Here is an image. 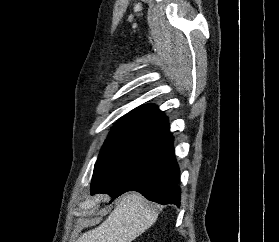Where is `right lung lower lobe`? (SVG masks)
<instances>
[{"mask_svg":"<svg viewBox=\"0 0 279 242\" xmlns=\"http://www.w3.org/2000/svg\"><path fill=\"white\" fill-rule=\"evenodd\" d=\"M158 133L99 182L92 181L91 194L107 193L116 198L138 191L159 204H180V171L167 117ZM111 200L110 202H112Z\"/></svg>","mask_w":279,"mask_h":242,"instance_id":"1","label":"right lung lower lobe"}]
</instances>
